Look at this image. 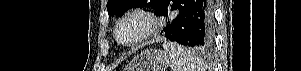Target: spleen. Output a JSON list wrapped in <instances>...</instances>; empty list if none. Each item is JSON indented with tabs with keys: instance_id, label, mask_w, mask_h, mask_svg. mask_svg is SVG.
<instances>
[{
	"instance_id": "1",
	"label": "spleen",
	"mask_w": 301,
	"mask_h": 71,
	"mask_svg": "<svg viewBox=\"0 0 301 71\" xmlns=\"http://www.w3.org/2000/svg\"><path fill=\"white\" fill-rule=\"evenodd\" d=\"M172 71H205L202 59L193 51L173 42H164Z\"/></svg>"
}]
</instances>
